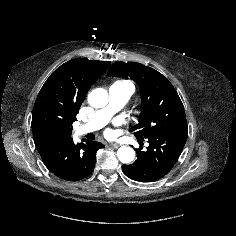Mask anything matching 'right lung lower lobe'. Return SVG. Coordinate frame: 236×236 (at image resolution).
I'll return each mask as SVG.
<instances>
[{"instance_id":"1","label":"right lung lower lobe","mask_w":236,"mask_h":236,"mask_svg":"<svg viewBox=\"0 0 236 236\" xmlns=\"http://www.w3.org/2000/svg\"><path fill=\"white\" fill-rule=\"evenodd\" d=\"M73 139H44L35 141V145L48 170L60 179L78 181L90 175L95 166V155L104 145L96 141Z\"/></svg>"}]
</instances>
